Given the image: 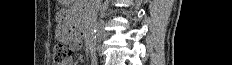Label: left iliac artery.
I'll list each match as a JSON object with an SVG mask.
<instances>
[{"label":"left iliac artery","mask_w":232,"mask_h":65,"mask_svg":"<svg viewBox=\"0 0 232 65\" xmlns=\"http://www.w3.org/2000/svg\"><path fill=\"white\" fill-rule=\"evenodd\" d=\"M91 63H92V65H97V59H96V57L92 58V62Z\"/></svg>","instance_id":"44dca946"}]
</instances>
